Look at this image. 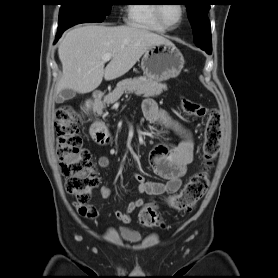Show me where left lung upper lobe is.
Masks as SVG:
<instances>
[{
	"label": "left lung upper lobe",
	"mask_w": 278,
	"mask_h": 278,
	"mask_svg": "<svg viewBox=\"0 0 278 278\" xmlns=\"http://www.w3.org/2000/svg\"><path fill=\"white\" fill-rule=\"evenodd\" d=\"M185 2L195 44L204 50H212L211 28L207 18L210 0H185Z\"/></svg>",
	"instance_id": "left-lung-upper-lobe-1"
}]
</instances>
